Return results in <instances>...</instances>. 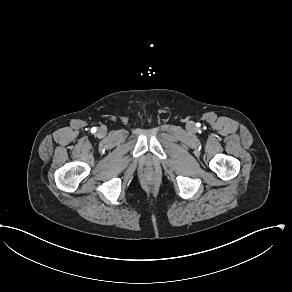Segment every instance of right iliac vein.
<instances>
[{"label":"right iliac vein","mask_w":292,"mask_h":292,"mask_svg":"<svg viewBox=\"0 0 292 292\" xmlns=\"http://www.w3.org/2000/svg\"><path fill=\"white\" fill-rule=\"evenodd\" d=\"M98 134L100 136H104L106 134V128L100 127L99 130H98Z\"/></svg>","instance_id":"obj_1"}]
</instances>
